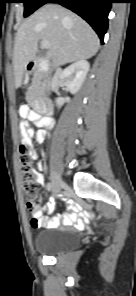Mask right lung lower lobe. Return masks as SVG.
<instances>
[{
	"label": "right lung lower lobe",
	"instance_id": "1",
	"mask_svg": "<svg viewBox=\"0 0 136 296\" xmlns=\"http://www.w3.org/2000/svg\"><path fill=\"white\" fill-rule=\"evenodd\" d=\"M114 0H46L72 10L86 20L96 31L103 43L108 28V14Z\"/></svg>",
	"mask_w": 136,
	"mask_h": 296
}]
</instances>
